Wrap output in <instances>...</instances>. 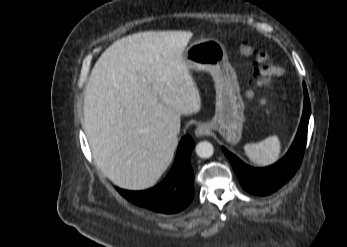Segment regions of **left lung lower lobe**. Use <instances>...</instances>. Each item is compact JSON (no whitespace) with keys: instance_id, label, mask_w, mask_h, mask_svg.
Returning a JSON list of instances; mask_svg holds the SVG:
<instances>
[{"instance_id":"1","label":"left lung lower lobe","mask_w":347,"mask_h":247,"mask_svg":"<svg viewBox=\"0 0 347 247\" xmlns=\"http://www.w3.org/2000/svg\"><path fill=\"white\" fill-rule=\"evenodd\" d=\"M304 109L296 137L287 154L277 163L265 168H253L244 164L234 154L222 147L224 154L232 164L241 186L255 195H269L286 182L298 170L305 151L308 122L310 117V101L305 83Z\"/></svg>"}]
</instances>
